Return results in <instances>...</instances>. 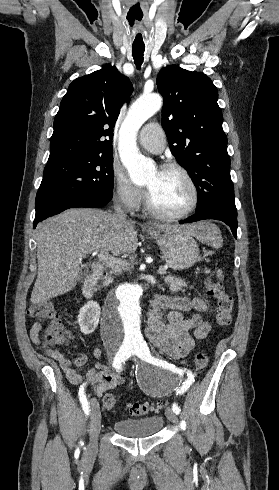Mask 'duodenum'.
Masks as SVG:
<instances>
[{
    "mask_svg": "<svg viewBox=\"0 0 279 490\" xmlns=\"http://www.w3.org/2000/svg\"><path fill=\"white\" fill-rule=\"evenodd\" d=\"M103 275V266L100 263H94L91 274L86 278L83 284V295L86 299L94 297L97 283Z\"/></svg>",
    "mask_w": 279,
    "mask_h": 490,
    "instance_id": "obj_1",
    "label": "duodenum"
}]
</instances>
